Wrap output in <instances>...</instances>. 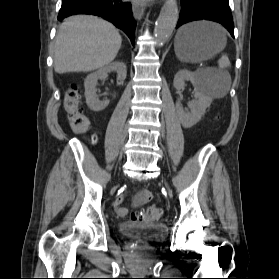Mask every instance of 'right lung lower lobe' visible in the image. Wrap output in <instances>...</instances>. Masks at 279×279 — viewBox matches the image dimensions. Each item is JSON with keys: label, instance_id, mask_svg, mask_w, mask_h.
<instances>
[{"label": "right lung lower lobe", "instance_id": "98d812e1", "mask_svg": "<svg viewBox=\"0 0 279 279\" xmlns=\"http://www.w3.org/2000/svg\"><path fill=\"white\" fill-rule=\"evenodd\" d=\"M73 14H93L123 30L134 44L136 23L131 4L121 0H62L58 20Z\"/></svg>", "mask_w": 279, "mask_h": 279}]
</instances>
